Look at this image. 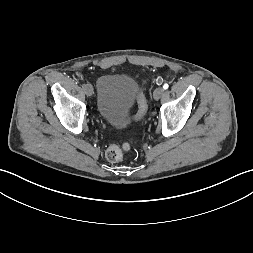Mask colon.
<instances>
[{"mask_svg":"<svg viewBox=\"0 0 253 253\" xmlns=\"http://www.w3.org/2000/svg\"><path fill=\"white\" fill-rule=\"evenodd\" d=\"M146 111V102L143 96L138 97V112L136 115V120L142 119ZM132 147L130 142H124L121 145H111L106 150V158L112 163L120 162L124 154L129 151Z\"/></svg>","mask_w":253,"mask_h":253,"instance_id":"5ec220e1","label":"colon"}]
</instances>
